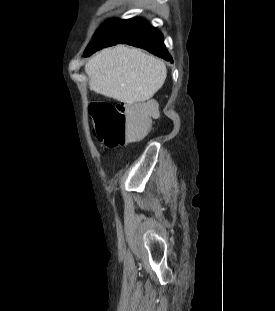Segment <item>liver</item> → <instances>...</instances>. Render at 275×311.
<instances>
[{
	"label": "liver",
	"mask_w": 275,
	"mask_h": 311,
	"mask_svg": "<svg viewBox=\"0 0 275 311\" xmlns=\"http://www.w3.org/2000/svg\"><path fill=\"white\" fill-rule=\"evenodd\" d=\"M90 88L126 104L149 100L164 84L163 61L140 49L118 45L104 49L85 65Z\"/></svg>",
	"instance_id": "1"
}]
</instances>
